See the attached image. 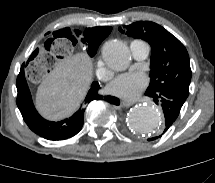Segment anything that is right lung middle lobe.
<instances>
[{"label": "right lung middle lobe", "mask_w": 215, "mask_h": 183, "mask_svg": "<svg viewBox=\"0 0 215 183\" xmlns=\"http://www.w3.org/2000/svg\"><path fill=\"white\" fill-rule=\"evenodd\" d=\"M80 32L75 31V34H71L67 31V37L72 40L75 44L78 41ZM84 43L86 42L88 45V54L90 57H93L97 49L100 45V43L104 40V37L97 34L95 31H92V28H87L84 32V38L81 39Z\"/></svg>", "instance_id": "dd1d6c3e"}]
</instances>
